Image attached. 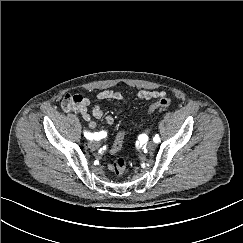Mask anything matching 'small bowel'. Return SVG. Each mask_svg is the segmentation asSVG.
I'll use <instances>...</instances> for the list:
<instances>
[{"label": "small bowel", "mask_w": 243, "mask_h": 243, "mask_svg": "<svg viewBox=\"0 0 243 243\" xmlns=\"http://www.w3.org/2000/svg\"><path fill=\"white\" fill-rule=\"evenodd\" d=\"M164 93L161 91L157 90H140L135 93V97L138 99H143V100H151L154 98H159L163 96ZM99 100H116V101H124L123 95L116 90H105L100 92L97 95ZM90 104V98L89 97H84L82 103L74 110L79 112L83 119L87 122L88 126L90 128H95L96 127V122L92 120V116L95 118H101L103 116V109L100 105H95L92 109V112L90 113L88 110V106ZM104 122L106 125L110 126L114 123V118L111 115H106L104 117ZM102 133L103 136H106L105 132H99ZM106 149H108V146H105ZM112 152V149H111ZM108 169L113 170V165L108 164Z\"/></svg>", "instance_id": "1"}]
</instances>
